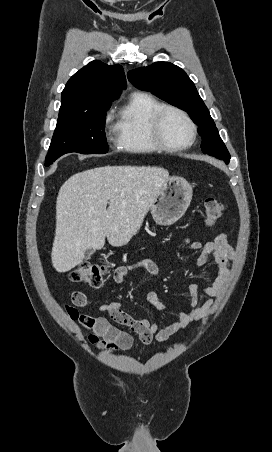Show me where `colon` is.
<instances>
[{"label":"colon","mask_w":272,"mask_h":452,"mask_svg":"<svg viewBox=\"0 0 272 452\" xmlns=\"http://www.w3.org/2000/svg\"><path fill=\"white\" fill-rule=\"evenodd\" d=\"M224 211L223 204L214 197H207L204 201V219L207 225L215 224ZM108 272L103 264L82 263L69 272L68 278L74 283H84L92 287H99L104 283Z\"/></svg>","instance_id":"colon-1"}]
</instances>
